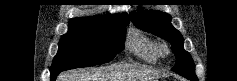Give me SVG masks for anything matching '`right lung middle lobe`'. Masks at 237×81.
<instances>
[{"label":"right lung middle lobe","mask_w":237,"mask_h":81,"mask_svg":"<svg viewBox=\"0 0 237 81\" xmlns=\"http://www.w3.org/2000/svg\"><path fill=\"white\" fill-rule=\"evenodd\" d=\"M128 22L93 24L69 22L60 39L50 74L107 63L123 50Z\"/></svg>","instance_id":"obj_1"}]
</instances>
